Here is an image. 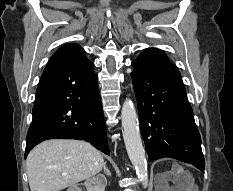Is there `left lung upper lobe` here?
I'll return each instance as SVG.
<instances>
[{
  "label": "left lung upper lobe",
  "mask_w": 233,
  "mask_h": 191,
  "mask_svg": "<svg viewBox=\"0 0 233 191\" xmlns=\"http://www.w3.org/2000/svg\"><path fill=\"white\" fill-rule=\"evenodd\" d=\"M140 55H160V56H163L166 58V55L161 51V50H158V49H146L142 54Z\"/></svg>",
  "instance_id": "5c2ea615"
}]
</instances>
